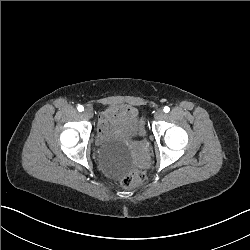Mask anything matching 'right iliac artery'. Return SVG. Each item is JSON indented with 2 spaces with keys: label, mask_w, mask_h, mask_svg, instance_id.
<instances>
[{
  "label": "right iliac artery",
  "mask_w": 250,
  "mask_h": 250,
  "mask_svg": "<svg viewBox=\"0 0 250 250\" xmlns=\"http://www.w3.org/2000/svg\"><path fill=\"white\" fill-rule=\"evenodd\" d=\"M77 109H78L79 112L84 111V107H83L82 105H79V106L77 107Z\"/></svg>",
  "instance_id": "right-iliac-artery-1"
}]
</instances>
